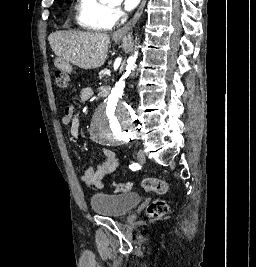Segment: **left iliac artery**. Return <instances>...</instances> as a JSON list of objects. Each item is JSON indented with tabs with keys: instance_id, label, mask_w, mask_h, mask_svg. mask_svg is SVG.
<instances>
[{
	"instance_id": "44dca946",
	"label": "left iliac artery",
	"mask_w": 256,
	"mask_h": 267,
	"mask_svg": "<svg viewBox=\"0 0 256 267\" xmlns=\"http://www.w3.org/2000/svg\"><path fill=\"white\" fill-rule=\"evenodd\" d=\"M130 169L136 170L139 169V164L138 163H133L132 165L129 166Z\"/></svg>"
}]
</instances>
